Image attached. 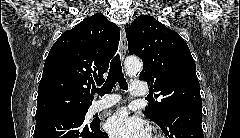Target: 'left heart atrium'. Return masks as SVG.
<instances>
[{"instance_id":"39dd6f15","label":"left heart atrium","mask_w":240,"mask_h":138,"mask_svg":"<svg viewBox=\"0 0 240 138\" xmlns=\"http://www.w3.org/2000/svg\"><path fill=\"white\" fill-rule=\"evenodd\" d=\"M108 133L114 138H147L149 130L144 122L128 109L120 108L106 122Z\"/></svg>"}]
</instances>
